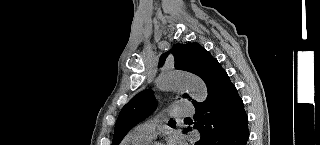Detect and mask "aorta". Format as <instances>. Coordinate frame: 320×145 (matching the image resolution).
I'll return each mask as SVG.
<instances>
[{
  "label": "aorta",
  "mask_w": 320,
  "mask_h": 145,
  "mask_svg": "<svg viewBox=\"0 0 320 145\" xmlns=\"http://www.w3.org/2000/svg\"><path fill=\"white\" fill-rule=\"evenodd\" d=\"M157 87L162 91L186 89L197 102L207 98L206 84L197 76L176 71L162 72L156 81Z\"/></svg>",
  "instance_id": "aorta-1"
}]
</instances>
